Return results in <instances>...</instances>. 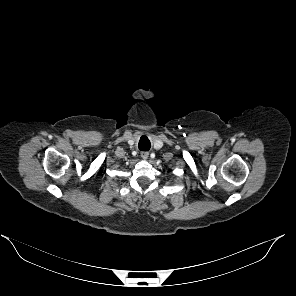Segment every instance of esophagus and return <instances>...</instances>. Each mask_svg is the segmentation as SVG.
Returning a JSON list of instances; mask_svg holds the SVG:
<instances>
[{"label":"esophagus","instance_id":"obj_1","mask_svg":"<svg viewBox=\"0 0 296 296\" xmlns=\"http://www.w3.org/2000/svg\"><path fill=\"white\" fill-rule=\"evenodd\" d=\"M148 156H149V153L148 152H145V151H143V152H141V157L143 158V159H147L148 158Z\"/></svg>","mask_w":296,"mask_h":296}]
</instances>
